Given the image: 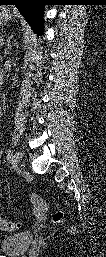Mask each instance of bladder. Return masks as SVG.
Segmentation results:
<instances>
[{"label":"bladder","mask_w":106,"mask_h":257,"mask_svg":"<svg viewBox=\"0 0 106 257\" xmlns=\"http://www.w3.org/2000/svg\"><path fill=\"white\" fill-rule=\"evenodd\" d=\"M33 239V234L29 231L8 236L1 242V251L7 256L18 257L29 249Z\"/></svg>","instance_id":"1"}]
</instances>
